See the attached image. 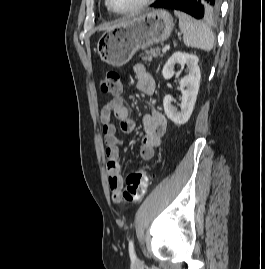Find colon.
Here are the masks:
<instances>
[{
    "label": "colon",
    "mask_w": 265,
    "mask_h": 269,
    "mask_svg": "<svg viewBox=\"0 0 265 269\" xmlns=\"http://www.w3.org/2000/svg\"><path fill=\"white\" fill-rule=\"evenodd\" d=\"M101 91L110 96H118L122 91L120 75L115 70H109L100 82ZM150 178L147 172L137 170L126 178V184L120 194V201L133 203L141 200L148 190Z\"/></svg>",
    "instance_id": "colon-1"
}]
</instances>
